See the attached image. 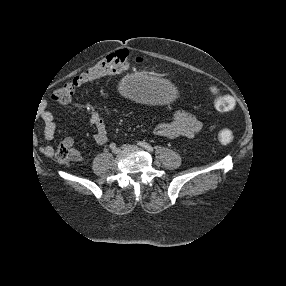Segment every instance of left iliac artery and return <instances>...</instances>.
Here are the masks:
<instances>
[{"label":"left iliac artery","instance_id":"1","mask_svg":"<svg viewBox=\"0 0 286 286\" xmlns=\"http://www.w3.org/2000/svg\"><path fill=\"white\" fill-rule=\"evenodd\" d=\"M137 144H138L139 146L145 148L147 151L153 152V147H152L150 144H148V143H146V142H144V141H138Z\"/></svg>","mask_w":286,"mask_h":286}]
</instances>
